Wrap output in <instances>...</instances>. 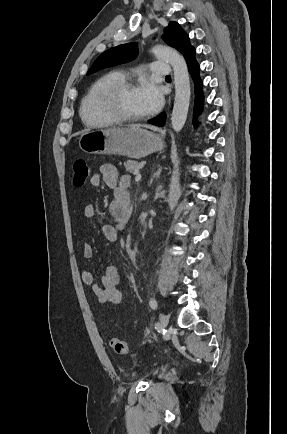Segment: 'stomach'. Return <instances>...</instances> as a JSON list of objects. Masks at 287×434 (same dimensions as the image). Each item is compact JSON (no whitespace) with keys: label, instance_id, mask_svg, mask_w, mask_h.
Returning <instances> with one entry per match:
<instances>
[{"label":"stomach","instance_id":"0dacf381","mask_svg":"<svg viewBox=\"0 0 287 434\" xmlns=\"http://www.w3.org/2000/svg\"><path fill=\"white\" fill-rule=\"evenodd\" d=\"M83 152L143 158L164 148L160 135L143 128H110L87 131L78 139Z\"/></svg>","mask_w":287,"mask_h":434}]
</instances>
